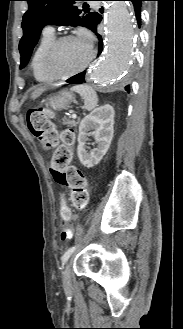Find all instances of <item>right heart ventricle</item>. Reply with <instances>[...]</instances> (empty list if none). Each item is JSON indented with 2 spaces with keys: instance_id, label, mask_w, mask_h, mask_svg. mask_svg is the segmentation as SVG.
<instances>
[{
  "instance_id": "obj_1",
  "label": "right heart ventricle",
  "mask_w": 183,
  "mask_h": 329,
  "mask_svg": "<svg viewBox=\"0 0 183 329\" xmlns=\"http://www.w3.org/2000/svg\"><path fill=\"white\" fill-rule=\"evenodd\" d=\"M54 33L44 32L38 42L31 59V68L34 77L39 82H50V77L46 74L43 66L44 55L50 44L54 41Z\"/></svg>"
}]
</instances>
